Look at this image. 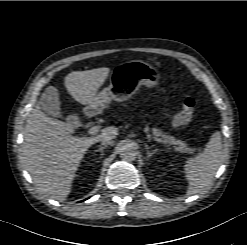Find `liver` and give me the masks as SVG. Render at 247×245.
Returning <instances> with one entry per match:
<instances>
[{"mask_svg": "<svg viewBox=\"0 0 247 245\" xmlns=\"http://www.w3.org/2000/svg\"><path fill=\"white\" fill-rule=\"evenodd\" d=\"M109 72L106 67L73 71L65 77L64 85L75 101L98 110L101 107L98 89ZM73 134L71 125L48 117L39 105L28 115L22 146L26 170L38 190L59 201L70 194L75 173L87 150L104 138H116L118 130L106 127L94 137Z\"/></svg>", "mask_w": 247, "mask_h": 245, "instance_id": "liver-1", "label": "liver"}]
</instances>
